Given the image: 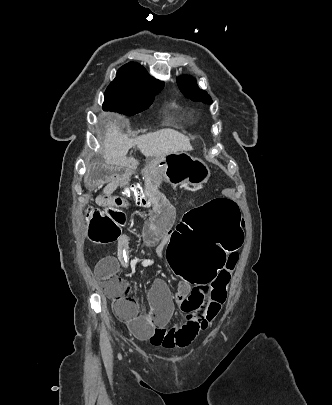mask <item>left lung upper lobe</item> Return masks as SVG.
<instances>
[{
  "mask_svg": "<svg viewBox=\"0 0 332 405\" xmlns=\"http://www.w3.org/2000/svg\"><path fill=\"white\" fill-rule=\"evenodd\" d=\"M178 86L182 93L193 101H200L211 104V97L204 90H199L194 79L189 76H183L178 79Z\"/></svg>",
  "mask_w": 332,
  "mask_h": 405,
  "instance_id": "left-lung-upper-lobe-1",
  "label": "left lung upper lobe"
}]
</instances>
